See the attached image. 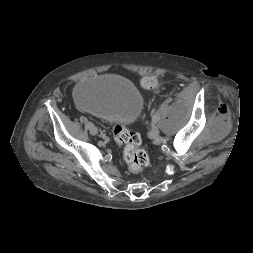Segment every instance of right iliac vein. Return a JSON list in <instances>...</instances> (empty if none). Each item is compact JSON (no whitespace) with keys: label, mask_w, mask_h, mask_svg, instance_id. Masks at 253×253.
<instances>
[{"label":"right iliac vein","mask_w":253,"mask_h":253,"mask_svg":"<svg viewBox=\"0 0 253 253\" xmlns=\"http://www.w3.org/2000/svg\"><path fill=\"white\" fill-rule=\"evenodd\" d=\"M90 133L92 134V135H96L97 133H98V129H97V127L96 126H91L90 128Z\"/></svg>","instance_id":"1"}]
</instances>
